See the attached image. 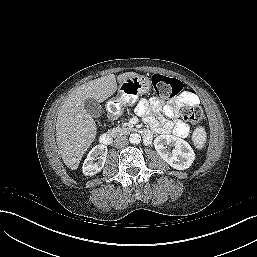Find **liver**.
Returning <instances> with one entry per match:
<instances>
[{
    "instance_id": "6515ba94",
    "label": "liver",
    "mask_w": 257,
    "mask_h": 257,
    "mask_svg": "<svg viewBox=\"0 0 257 257\" xmlns=\"http://www.w3.org/2000/svg\"><path fill=\"white\" fill-rule=\"evenodd\" d=\"M126 72L116 77L109 74L81 85L64 101L56 122V142L65 165L76 170L80 161L96 137L97 127L92 116L84 108V101L93 98L103 102L117 90V82L137 76Z\"/></svg>"
}]
</instances>
